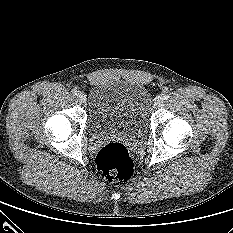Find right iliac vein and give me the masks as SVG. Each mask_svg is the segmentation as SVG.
<instances>
[{
	"instance_id": "right-iliac-vein-1",
	"label": "right iliac vein",
	"mask_w": 233,
	"mask_h": 233,
	"mask_svg": "<svg viewBox=\"0 0 233 233\" xmlns=\"http://www.w3.org/2000/svg\"><path fill=\"white\" fill-rule=\"evenodd\" d=\"M77 98H78L80 103H85V101H86V95L82 92L77 94Z\"/></svg>"
}]
</instances>
